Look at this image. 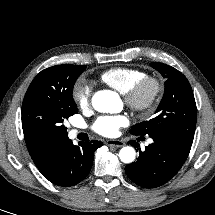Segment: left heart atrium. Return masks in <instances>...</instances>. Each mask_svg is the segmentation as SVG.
<instances>
[{
    "instance_id": "39dd6f15",
    "label": "left heart atrium",
    "mask_w": 215,
    "mask_h": 215,
    "mask_svg": "<svg viewBox=\"0 0 215 215\" xmlns=\"http://www.w3.org/2000/svg\"><path fill=\"white\" fill-rule=\"evenodd\" d=\"M129 120L123 114L100 116L93 123V130L105 137H114L121 127L127 126Z\"/></svg>"
}]
</instances>
